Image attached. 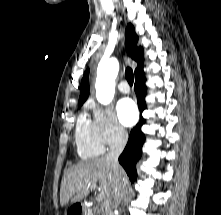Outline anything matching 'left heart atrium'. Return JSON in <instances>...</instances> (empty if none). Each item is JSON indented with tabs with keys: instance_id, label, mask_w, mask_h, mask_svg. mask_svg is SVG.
Here are the masks:
<instances>
[{
	"instance_id": "left-heart-atrium-1",
	"label": "left heart atrium",
	"mask_w": 221,
	"mask_h": 215,
	"mask_svg": "<svg viewBox=\"0 0 221 215\" xmlns=\"http://www.w3.org/2000/svg\"><path fill=\"white\" fill-rule=\"evenodd\" d=\"M117 113L119 120L125 126L133 125L138 119L137 107L130 98H124L118 103Z\"/></svg>"
}]
</instances>
